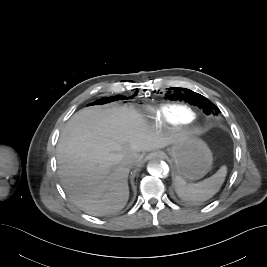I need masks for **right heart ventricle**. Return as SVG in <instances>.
<instances>
[{
  "label": "right heart ventricle",
  "instance_id": "1",
  "mask_svg": "<svg viewBox=\"0 0 267 267\" xmlns=\"http://www.w3.org/2000/svg\"><path fill=\"white\" fill-rule=\"evenodd\" d=\"M155 123L167 122L174 125L188 124L194 118L191 108L183 104H163L149 110Z\"/></svg>",
  "mask_w": 267,
  "mask_h": 267
}]
</instances>
